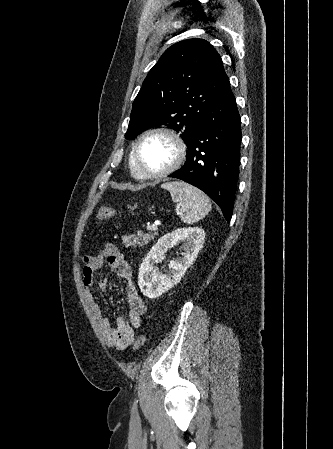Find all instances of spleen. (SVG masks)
<instances>
[{"label":"spleen","mask_w":333,"mask_h":449,"mask_svg":"<svg viewBox=\"0 0 333 449\" xmlns=\"http://www.w3.org/2000/svg\"><path fill=\"white\" fill-rule=\"evenodd\" d=\"M162 187L167 189L173 201L178 203L181 220L186 224H192L200 220L211 210L209 198L195 186L174 181L165 183Z\"/></svg>","instance_id":"obj_1"}]
</instances>
